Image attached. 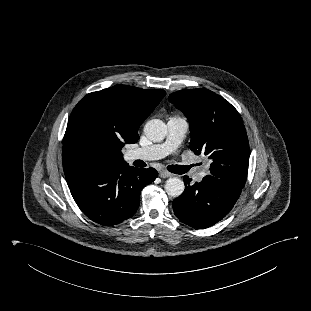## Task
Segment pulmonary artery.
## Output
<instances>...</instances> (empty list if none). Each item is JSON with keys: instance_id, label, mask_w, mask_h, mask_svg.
<instances>
[{"instance_id": "pulmonary-artery-1", "label": "pulmonary artery", "mask_w": 311, "mask_h": 311, "mask_svg": "<svg viewBox=\"0 0 311 311\" xmlns=\"http://www.w3.org/2000/svg\"><path fill=\"white\" fill-rule=\"evenodd\" d=\"M188 129L187 121L182 117H171L167 122V138L161 144L138 148L129 153L130 159L157 160L173 151L181 144ZM208 174V169L203 168L195 174V179L201 181Z\"/></svg>"}]
</instances>
